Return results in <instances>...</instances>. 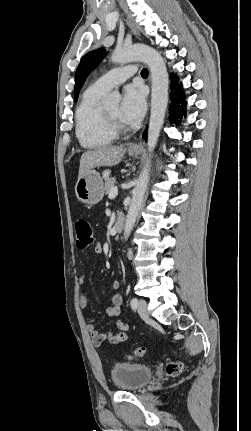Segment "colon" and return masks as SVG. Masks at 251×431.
I'll list each match as a JSON object with an SVG mask.
<instances>
[{"instance_id": "obj_1", "label": "colon", "mask_w": 251, "mask_h": 431, "mask_svg": "<svg viewBox=\"0 0 251 431\" xmlns=\"http://www.w3.org/2000/svg\"><path fill=\"white\" fill-rule=\"evenodd\" d=\"M76 245L79 249H86L94 242V232L91 224L85 219H79L75 224ZM145 354L144 347L135 348L131 354L126 356V360H132L143 357ZM183 365L180 361H170L165 366V371L169 376H177L182 372Z\"/></svg>"}]
</instances>
